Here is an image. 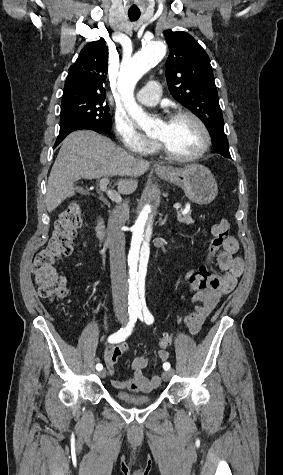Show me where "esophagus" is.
Here are the masks:
<instances>
[{"instance_id": "esophagus-1", "label": "esophagus", "mask_w": 283, "mask_h": 475, "mask_svg": "<svg viewBox=\"0 0 283 475\" xmlns=\"http://www.w3.org/2000/svg\"><path fill=\"white\" fill-rule=\"evenodd\" d=\"M156 171H161V172H169V169L163 165H157L156 166Z\"/></svg>"}]
</instances>
